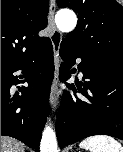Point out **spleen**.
Masks as SVG:
<instances>
[{
	"label": "spleen",
	"mask_w": 123,
	"mask_h": 152,
	"mask_svg": "<svg viewBox=\"0 0 123 152\" xmlns=\"http://www.w3.org/2000/svg\"><path fill=\"white\" fill-rule=\"evenodd\" d=\"M81 148L90 152H123L122 145L113 137L107 135H95L81 141Z\"/></svg>",
	"instance_id": "1"
}]
</instances>
